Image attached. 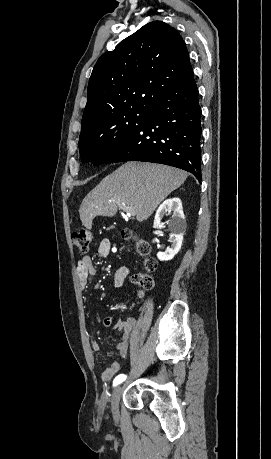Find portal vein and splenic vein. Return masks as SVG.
Returning <instances> with one entry per match:
<instances>
[{"mask_svg": "<svg viewBox=\"0 0 271 459\" xmlns=\"http://www.w3.org/2000/svg\"><path fill=\"white\" fill-rule=\"evenodd\" d=\"M124 212L129 214V216H135V208H124Z\"/></svg>", "mask_w": 271, "mask_h": 459, "instance_id": "portal-vein-and-splenic-vein-1", "label": "portal vein and splenic vein"}]
</instances>
